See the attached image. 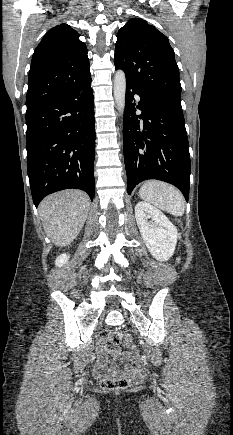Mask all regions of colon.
<instances>
[{
	"label": "colon",
	"instance_id": "colon-1",
	"mask_svg": "<svg viewBox=\"0 0 233 435\" xmlns=\"http://www.w3.org/2000/svg\"><path fill=\"white\" fill-rule=\"evenodd\" d=\"M103 340H111L114 344H123L128 349H132L134 341L130 334L126 332H112L109 329H104L100 333ZM130 383V378L126 375L117 378H105L101 382L103 389L110 391L125 390Z\"/></svg>",
	"mask_w": 233,
	"mask_h": 435
}]
</instances>
